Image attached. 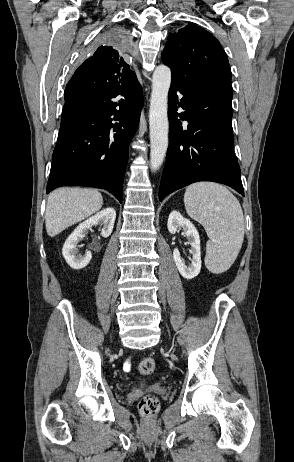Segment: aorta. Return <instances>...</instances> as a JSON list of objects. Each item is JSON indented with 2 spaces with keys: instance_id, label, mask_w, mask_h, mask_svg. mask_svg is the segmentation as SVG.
Segmentation results:
<instances>
[{
  "instance_id": "1",
  "label": "aorta",
  "mask_w": 294,
  "mask_h": 462,
  "mask_svg": "<svg viewBox=\"0 0 294 462\" xmlns=\"http://www.w3.org/2000/svg\"><path fill=\"white\" fill-rule=\"evenodd\" d=\"M171 71L165 65L156 67L152 77V92L149 110L150 165L156 171L162 165L168 148V91Z\"/></svg>"
}]
</instances>
